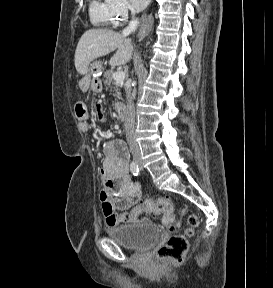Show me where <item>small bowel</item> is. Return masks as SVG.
Here are the masks:
<instances>
[{
    "label": "small bowel",
    "mask_w": 273,
    "mask_h": 288,
    "mask_svg": "<svg viewBox=\"0 0 273 288\" xmlns=\"http://www.w3.org/2000/svg\"><path fill=\"white\" fill-rule=\"evenodd\" d=\"M80 129L91 130L89 115L82 106L76 109ZM98 120H103V111L94 110ZM104 160L100 177L104 187L100 193L103 213L110 227L138 222L145 212L137 202L141 198L142 186L129 174L128 151L120 140H108L103 145Z\"/></svg>",
    "instance_id": "c3829d8e"
}]
</instances>
